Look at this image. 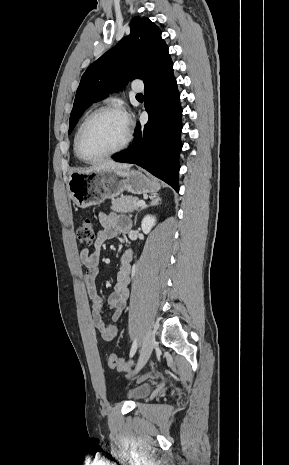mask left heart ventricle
I'll use <instances>...</instances> for the list:
<instances>
[{"mask_svg":"<svg viewBox=\"0 0 289 465\" xmlns=\"http://www.w3.org/2000/svg\"><path fill=\"white\" fill-rule=\"evenodd\" d=\"M127 123L122 115L101 113L87 125L82 149L87 157H97L117 148L126 137Z\"/></svg>","mask_w":289,"mask_h":465,"instance_id":"b2bd125f","label":"left heart ventricle"}]
</instances>
